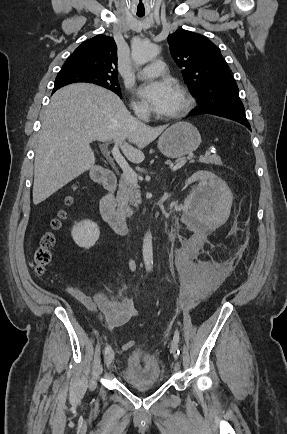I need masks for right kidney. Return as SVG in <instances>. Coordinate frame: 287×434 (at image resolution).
Masks as SVG:
<instances>
[{
    "instance_id": "right-kidney-1",
    "label": "right kidney",
    "mask_w": 287,
    "mask_h": 434,
    "mask_svg": "<svg viewBox=\"0 0 287 434\" xmlns=\"http://www.w3.org/2000/svg\"><path fill=\"white\" fill-rule=\"evenodd\" d=\"M71 235L79 247L89 249L99 239L100 230L96 223L84 220L73 226Z\"/></svg>"
}]
</instances>
